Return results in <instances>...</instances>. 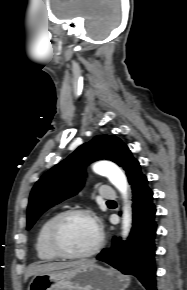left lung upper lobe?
<instances>
[{
    "label": "left lung upper lobe",
    "instance_id": "obj_1",
    "mask_svg": "<svg viewBox=\"0 0 187 290\" xmlns=\"http://www.w3.org/2000/svg\"><path fill=\"white\" fill-rule=\"evenodd\" d=\"M107 159L121 166L132 185L142 175L139 162L121 139L99 135L46 172L33 187L27 210V229L50 207L77 194L84 185L86 166Z\"/></svg>",
    "mask_w": 187,
    "mask_h": 290
}]
</instances>
